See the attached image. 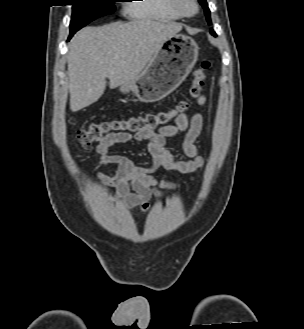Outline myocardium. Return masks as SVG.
Here are the masks:
<instances>
[{
	"label": "myocardium",
	"instance_id": "obj_1",
	"mask_svg": "<svg viewBox=\"0 0 304 329\" xmlns=\"http://www.w3.org/2000/svg\"><path fill=\"white\" fill-rule=\"evenodd\" d=\"M169 1L173 10L181 17H186V18L193 17L199 11V5L197 0H169ZM185 2H188L192 5L193 7L192 11H187L184 8Z\"/></svg>",
	"mask_w": 304,
	"mask_h": 329
}]
</instances>
